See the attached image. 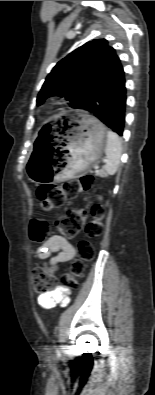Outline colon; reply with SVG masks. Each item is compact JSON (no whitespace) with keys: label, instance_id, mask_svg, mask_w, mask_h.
I'll return each mask as SVG.
<instances>
[{"label":"colon","instance_id":"colon-1","mask_svg":"<svg viewBox=\"0 0 155 395\" xmlns=\"http://www.w3.org/2000/svg\"><path fill=\"white\" fill-rule=\"evenodd\" d=\"M93 183L91 175H83L77 179H71L59 184H44L37 189V197L41 207L50 211L62 206L66 200L75 198L79 193L88 190ZM105 208L100 203L92 206L89 220L86 222L87 213L82 209L67 211L57 222V228L61 235L73 238L82 230L89 238L99 237L103 232ZM47 234V223L40 219H34L30 223L29 236L34 243L44 241ZM79 259L75 260L70 270L64 274L62 287L76 288L79 285L84 262L94 258L95 248L89 240H82L78 245ZM33 285L37 293L49 292L55 285L56 275L54 269L43 266L33 271Z\"/></svg>","mask_w":155,"mask_h":395}]
</instances>
